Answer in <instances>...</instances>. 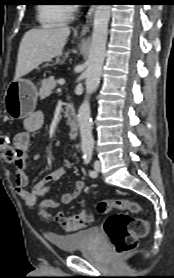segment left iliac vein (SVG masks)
Wrapping results in <instances>:
<instances>
[{
	"mask_svg": "<svg viewBox=\"0 0 174 278\" xmlns=\"http://www.w3.org/2000/svg\"><path fill=\"white\" fill-rule=\"evenodd\" d=\"M94 168L96 172H99L101 170V162L99 160H96L94 162Z\"/></svg>",
	"mask_w": 174,
	"mask_h": 278,
	"instance_id": "left-iliac-vein-1",
	"label": "left iliac vein"
}]
</instances>
